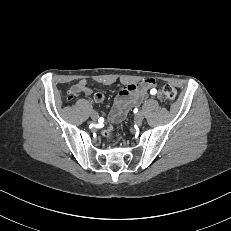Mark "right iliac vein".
<instances>
[{"instance_id":"right-iliac-vein-1","label":"right iliac vein","mask_w":231,"mask_h":231,"mask_svg":"<svg viewBox=\"0 0 231 231\" xmlns=\"http://www.w3.org/2000/svg\"><path fill=\"white\" fill-rule=\"evenodd\" d=\"M90 116H91V119H92L93 121H97V119H98V114H97L96 111H94V110L91 111Z\"/></svg>"}]
</instances>
